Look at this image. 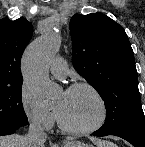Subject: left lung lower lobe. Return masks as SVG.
<instances>
[{
  "label": "left lung lower lobe",
  "mask_w": 145,
  "mask_h": 147,
  "mask_svg": "<svg viewBox=\"0 0 145 147\" xmlns=\"http://www.w3.org/2000/svg\"><path fill=\"white\" fill-rule=\"evenodd\" d=\"M92 135L94 136L115 135L127 140L134 147H145V128L125 129L114 132H106L99 129L96 132H94Z\"/></svg>",
  "instance_id": "0a47b994"
}]
</instances>
